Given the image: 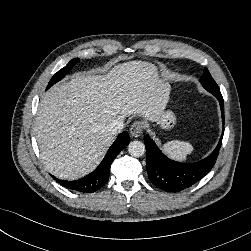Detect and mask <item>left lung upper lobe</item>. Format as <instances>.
Wrapping results in <instances>:
<instances>
[{
    "label": "left lung upper lobe",
    "mask_w": 251,
    "mask_h": 251,
    "mask_svg": "<svg viewBox=\"0 0 251 251\" xmlns=\"http://www.w3.org/2000/svg\"><path fill=\"white\" fill-rule=\"evenodd\" d=\"M200 82H201L202 86L207 91H209V92H219L220 93V90H219L216 82L214 81V79L210 75L207 68L204 69V74L201 76Z\"/></svg>",
    "instance_id": "left-lung-upper-lobe-1"
}]
</instances>
